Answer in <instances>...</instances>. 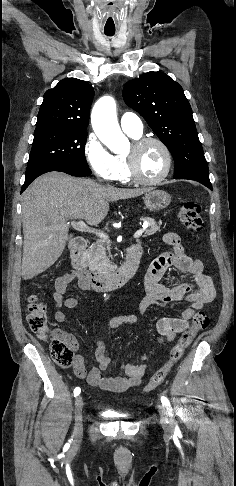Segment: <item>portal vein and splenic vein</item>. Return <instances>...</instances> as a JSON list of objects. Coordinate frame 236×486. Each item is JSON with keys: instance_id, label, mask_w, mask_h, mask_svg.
<instances>
[{"instance_id": "portal-vein-and-splenic-vein-1", "label": "portal vein and splenic vein", "mask_w": 236, "mask_h": 486, "mask_svg": "<svg viewBox=\"0 0 236 486\" xmlns=\"http://www.w3.org/2000/svg\"><path fill=\"white\" fill-rule=\"evenodd\" d=\"M71 225L76 230H79V231H82V232L93 233V234H96L98 237H100L102 239L108 240V236L104 232L98 231L96 229H93V228L89 227L84 221H81L80 220V221H77V222H72ZM144 229H145V227H143L142 229H139L138 231H136L134 233V238L141 237V235L144 232Z\"/></svg>"}]
</instances>
